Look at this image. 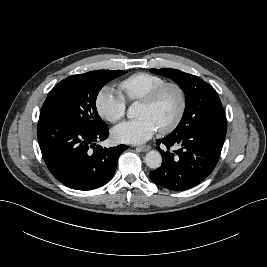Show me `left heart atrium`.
<instances>
[{
	"mask_svg": "<svg viewBox=\"0 0 267 267\" xmlns=\"http://www.w3.org/2000/svg\"><path fill=\"white\" fill-rule=\"evenodd\" d=\"M157 130L151 118L142 116L117 125L112 130V136L118 142L140 144L148 141Z\"/></svg>",
	"mask_w": 267,
	"mask_h": 267,
	"instance_id": "1",
	"label": "left heart atrium"
}]
</instances>
